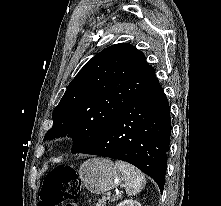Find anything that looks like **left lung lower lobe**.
<instances>
[{
	"mask_svg": "<svg viewBox=\"0 0 221 206\" xmlns=\"http://www.w3.org/2000/svg\"><path fill=\"white\" fill-rule=\"evenodd\" d=\"M171 135L167 98L158 80L132 100L111 125L79 153L126 161L163 191Z\"/></svg>",
	"mask_w": 221,
	"mask_h": 206,
	"instance_id": "obj_1",
	"label": "left lung lower lobe"
}]
</instances>
